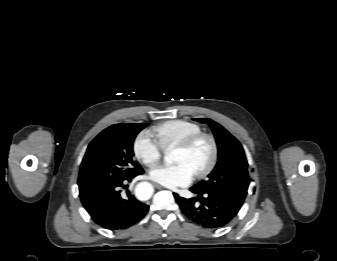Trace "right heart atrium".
Here are the masks:
<instances>
[{
	"instance_id": "1",
	"label": "right heart atrium",
	"mask_w": 337,
	"mask_h": 261,
	"mask_svg": "<svg viewBox=\"0 0 337 261\" xmlns=\"http://www.w3.org/2000/svg\"><path fill=\"white\" fill-rule=\"evenodd\" d=\"M133 149L136 157L147 166L156 164L164 150L160 142L147 130L138 134Z\"/></svg>"
}]
</instances>
